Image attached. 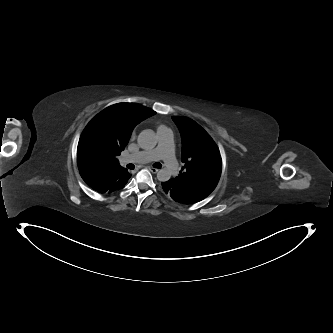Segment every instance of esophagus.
<instances>
[{
    "instance_id": "esophagus-1",
    "label": "esophagus",
    "mask_w": 333,
    "mask_h": 333,
    "mask_svg": "<svg viewBox=\"0 0 333 333\" xmlns=\"http://www.w3.org/2000/svg\"><path fill=\"white\" fill-rule=\"evenodd\" d=\"M148 169L154 174H156L159 171V169L154 168V167H148Z\"/></svg>"
}]
</instances>
